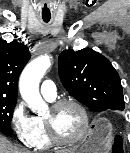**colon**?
Instances as JSON below:
<instances>
[{
    "label": "colon",
    "mask_w": 130,
    "mask_h": 153,
    "mask_svg": "<svg viewBox=\"0 0 130 153\" xmlns=\"http://www.w3.org/2000/svg\"><path fill=\"white\" fill-rule=\"evenodd\" d=\"M114 152L115 153H122L123 152V147H122V144L119 140H116V143L114 146Z\"/></svg>",
    "instance_id": "obj_1"
}]
</instances>
